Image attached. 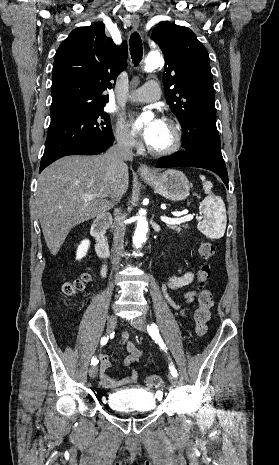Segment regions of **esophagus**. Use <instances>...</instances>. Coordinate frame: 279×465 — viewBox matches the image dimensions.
<instances>
[{
    "instance_id": "esophagus-1",
    "label": "esophagus",
    "mask_w": 279,
    "mask_h": 465,
    "mask_svg": "<svg viewBox=\"0 0 279 465\" xmlns=\"http://www.w3.org/2000/svg\"><path fill=\"white\" fill-rule=\"evenodd\" d=\"M130 22H131L132 27L135 30L139 28L140 18L138 15H135V14L131 15ZM138 172L142 177L150 176L153 174L152 169L148 165H145V164L140 165V167L138 168Z\"/></svg>"
}]
</instances>
